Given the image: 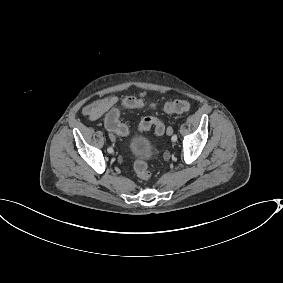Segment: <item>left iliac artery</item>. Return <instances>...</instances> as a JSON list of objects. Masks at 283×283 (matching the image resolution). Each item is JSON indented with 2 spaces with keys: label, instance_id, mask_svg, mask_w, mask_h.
Masks as SVG:
<instances>
[{
  "label": "left iliac artery",
  "instance_id": "left-iliac-artery-1",
  "mask_svg": "<svg viewBox=\"0 0 283 283\" xmlns=\"http://www.w3.org/2000/svg\"><path fill=\"white\" fill-rule=\"evenodd\" d=\"M172 141H174V142L177 141V135H176V134H174V135L172 136Z\"/></svg>",
  "mask_w": 283,
  "mask_h": 283
}]
</instances>
